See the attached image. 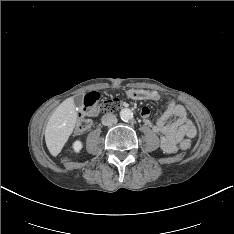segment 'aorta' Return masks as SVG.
<instances>
[{
  "label": "aorta",
  "instance_id": "obj_1",
  "mask_svg": "<svg viewBox=\"0 0 234 234\" xmlns=\"http://www.w3.org/2000/svg\"><path fill=\"white\" fill-rule=\"evenodd\" d=\"M120 117L123 121H129L133 117V113L130 109L124 108L120 111Z\"/></svg>",
  "mask_w": 234,
  "mask_h": 234
}]
</instances>
